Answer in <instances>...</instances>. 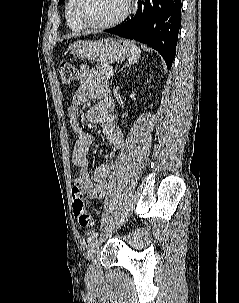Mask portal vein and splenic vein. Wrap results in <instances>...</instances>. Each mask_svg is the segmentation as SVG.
Here are the masks:
<instances>
[{"label":"portal vein and splenic vein","instance_id":"1","mask_svg":"<svg viewBox=\"0 0 239 303\" xmlns=\"http://www.w3.org/2000/svg\"><path fill=\"white\" fill-rule=\"evenodd\" d=\"M109 71H110V72H113V69H112V68H110V69H109Z\"/></svg>","mask_w":239,"mask_h":303}]
</instances>
